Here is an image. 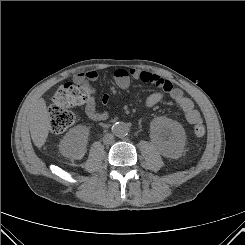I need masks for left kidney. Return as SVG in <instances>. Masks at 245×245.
Instances as JSON below:
<instances>
[{"label":"left kidney","instance_id":"obj_1","mask_svg":"<svg viewBox=\"0 0 245 245\" xmlns=\"http://www.w3.org/2000/svg\"><path fill=\"white\" fill-rule=\"evenodd\" d=\"M151 133L164 155L173 157L181 153L186 134L180 123L167 118H157L151 123Z\"/></svg>","mask_w":245,"mask_h":245}]
</instances>
